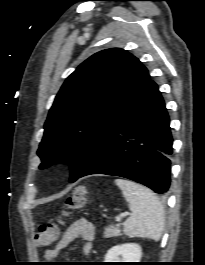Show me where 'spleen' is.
Returning a JSON list of instances; mask_svg holds the SVG:
<instances>
[{
    "label": "spleen",
    "mask_w": 205,
    "mask_h": 265,
    "mask_svg": "<svg viewBox=\"0 0 205 265\" xmlns=\"http://www.w3.org/2000/svg\"><path fill=\"white\" fill-rule=\"evenodd\" d=\"M115 183L132 212L124 222L125 235L158 241L165 227L164 210L158 197L149 188L130 180L116 179Z\"/></svg>",
    "instance_id": "1"
}]
</instances>
